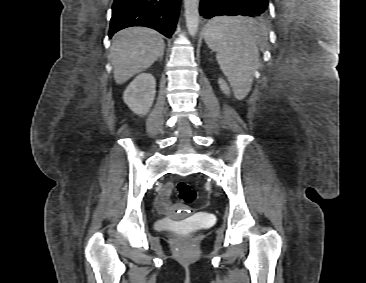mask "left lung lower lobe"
Masks as SVG:
<instances>
[{
    "label": "left lung lower lobe",
    "instance_id": "left-lung-lower-lobe-1",
    "mask_svg": "<svg viewBox=\"0 0 366 283\" xmlns=\"http://www.w3.org/2000/svg\"><path fill=\"white\" fill-rule=\"evenodd\" d=\"M199 10L205 19L223 15L255 18L268 12V6L262 0H201Z\"/></svg>",
    "mask_w": 366,
    "mask_h": 283
}]
</instances>
